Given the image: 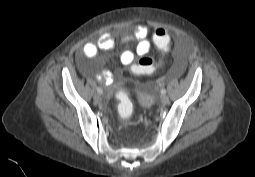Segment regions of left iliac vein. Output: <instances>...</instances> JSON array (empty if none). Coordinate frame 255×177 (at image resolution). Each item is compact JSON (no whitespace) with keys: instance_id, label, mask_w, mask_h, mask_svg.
I'll return each instance as SVG.
<instances>
[{"instance_id":"4c4485c4","label":"left iliac vein","mask_w":255,"mask_h":177,"mask_svg":"<svg viewBox=\"0 0 255 177\" xmlns=\"http://www.w3.org/2000/svg\"><path fill=\"white\" fill-rule=\"evenodd\" d=\"M160 99H161V103L164 105L169 103V97L166 95H162Z\"/></svg>"}]
</instances>
